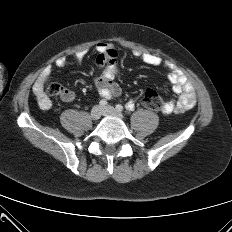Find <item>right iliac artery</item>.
<instances>
[{
    "instance_id": "1",
    "label": "right iliac artery",
    "mask_w": 232,
    "mask_h": 232,
    "mask_svg": "<svg viewBox=\"0 0 232 232\" xmlns=\"http://www.w3.org/2000/svg\"><path fill=\"white\" fill-rule=\"evenodd\" d=\"M100 106L102 107H105L107 105V101L105 99H102L100 102H99Z\"/></svg>"
}]
</instances>
